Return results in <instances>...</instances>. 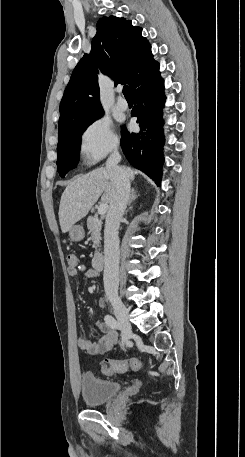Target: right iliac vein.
Returning a JSON list of instances; mask_svg holds the SVG:
<instances>
[{
  "mask_svg": "<svg viewBox=\"0 0 245 457\" xmlns=\"http://www.w3.org/2000/svg\"><path fill=\"white\" fill-rule=\"evenodd\" d=\"M112 306L115 315L122 326V344L125 345L132 333V327L129 322V311L125 304L119 299H114L112 301Z\"/></svg>",
  "mask_w": 245,
  "mask_h": 457,
  "instance_id": "63e3f726",
  "label": "right iliac vein"
}]
</instances>
